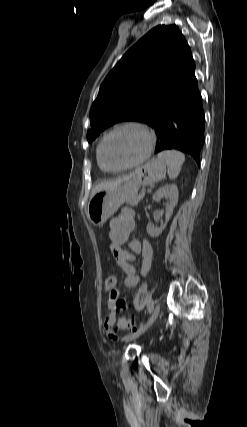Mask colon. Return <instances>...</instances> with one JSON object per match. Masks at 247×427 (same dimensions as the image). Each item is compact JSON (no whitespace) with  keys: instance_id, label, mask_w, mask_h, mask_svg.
Returning a JSON list of instances; mask_svg holds the SVG:
<instances>
[{"instance_id":"colon-1","label":"colon","mask_w":247,"mask_h":427,"mask_svg":"<svg viewBox=\"0 0 247 427\" xmlns=\"http://www.w3.org/2000/svg\"><path fill=\"white\" fill-rule=\"evenodd\" d=\"M118 284V278L114 274H108L105 278V287L109 291H115ZM117 328L124 331L136 329V322L133 316L121 317L118 319Z\"/></svg>"}]
</instances>
